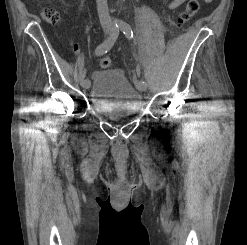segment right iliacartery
I'll return each instance as SVG.
<instances>
[{"label":"right iliac artery","mask_w":247,"mask_h":245,"mask_svg":"<svg viewBox=\"0 0 247 245\" xmlns=\"http://www.w3.org/2000/svg\"><path fill=\"white\" fill-rule=\"evenodd\" d=\"M119 26L116 25L113 29H112V34L103 42L101 43L96 49H95V55L100 56L103 55L105 53H107L114 45L115 41L118 38L119 35ZM86 72L87 69L83 68L82 71L80 72L79 75V82H85L86 81Z\"/></svg>","instance_id":"1"}]
</instances>
